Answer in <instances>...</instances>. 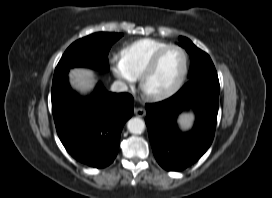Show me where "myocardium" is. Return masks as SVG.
Segmentation results:
<instances>
[{
	"instance_id": "obj_1",
	"label": "myocardium",
	"mask_w": 272,
	"mask_h": 198,
	"mask_svg": "<svg viewBox=\"0 0 272 198\" xmlns=\"http://www.w3.org/2000/svg\"><path fill=\"white\" fill-rule=\"evenodd\" d=\"M171 49H177V50L181 51L183 54V57H184V66H183V71H182L180 78L174 84V86H172L170 89H168L164 92L150 93V92L146 91V89H145L146 80L155 71V69L157 68L163 55ZM188 71H189V57H188L186 50L179 45H174V44L167 45L166 47L160 49L159 51H157L155 53V55L151 58V60L147 64V66L142 71V73L140 75V79H139L140 89H141L143 95L151 100H163V99L169 98V97L173 96L174 94H176L181 89V87L183 86V84L187 78Z\"/></svg>"
}]
</instances>
